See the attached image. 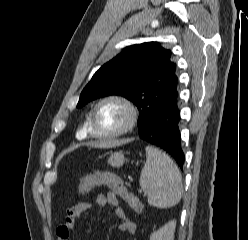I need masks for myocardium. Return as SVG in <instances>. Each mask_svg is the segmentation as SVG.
<instances>
[{"mask_svg": "<svg viewBox=\"0 0 248 240\" xmlns=\"http://www.w3.org/2000/svg\"><path fill=\"white\" fill-rule=\"evenodd\" d=\"M108 103H114L120 105L127 113V121L126 123L117 131L112 133H99L95 128V117L98 109ZM138 118V110L135 104L127 97L118 94H111L101 98L93 107L90 113V121H89V132L90 135L100 139H112L118 136L124 135L130 130L133 129L137 122Z\"/></svg>", "mask_w": 248, "mask_h": 240, "instance_id": "myocardium-1", "label": "myocardium"}]
</instances>
